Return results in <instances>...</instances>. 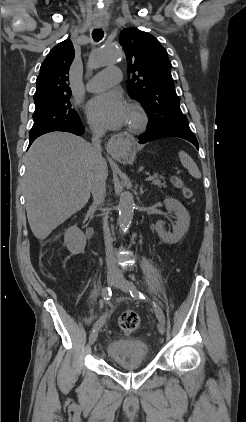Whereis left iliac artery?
I'll return each mask as SVG.
<instances>
[{
    "mask_svg": "<svg viewBox=\"0 0 246 422\" xmlns=\"http://www.w3.org/2000/svg\"><path fill=\"white\" fill-rule=\"evenodd\" d=\"M130 294L133 298H136V299H143V300L146 299V296L143 293H141L139 290H137L135 287L130 289ZM153 307H154V311L158 320L160 322L165 323V316L161 308L155 303H153Z\"/></svg>",
    "mask_w": 246,
    "mask_h": 422,
    "instance_id": "44dca946",
    "label": "left iliac artery"
}]
</instances>
